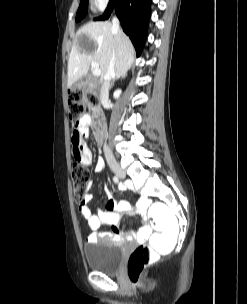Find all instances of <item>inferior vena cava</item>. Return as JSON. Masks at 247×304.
Masks as SVG:
<instances>
[{
    "mask_svg": "<svg viewBox=\"0 0 247 304\" xmlns=\"http://www.w3.org/2000/svg\"><path fill=\"white\" fill-rule=\"evenodd\" d=\"M112 29L115 32L119 31V20L116 17H114L112 20ZM114 76H115V51L113 50L110 57L107 73L104 76L101 91H100V101L102 103L108 100L110 81L112 78H114ZM103 149L108 164L112 167L115 166L116 160L106 144L104 145Z\"/></svg>",
    "mask_w": 247,
    "mask_h": 304,
    "instance_id": "602c4592",
    "label": "inferior vena cava"
}]
</instances>
